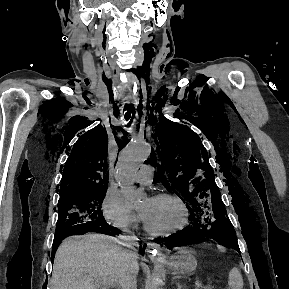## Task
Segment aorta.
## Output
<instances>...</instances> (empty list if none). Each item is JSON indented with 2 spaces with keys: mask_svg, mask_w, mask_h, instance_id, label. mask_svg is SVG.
I'll use <instances>...</instances> for the list:
<instances>
[{
  "mask_svg": "<svg viewBox=\"0 0 289 289\" xmlns=\"http://www.w3.org/2000/svg\"><path fill=\"white\" fill-rule=\"evenodd\" d=\"M150 152L151 149L145 141L134 138L119 154L117 177L127 204L132 208L138 207L146 198V194L136 189L129 181V177L148 160ZM153 289L162 288L156 285Z\"/></svg>",
  "mask_w": 289,
  "mask_h": 289,
  "instance_id": "aorta-1",
  "label": "aorta"
}]
</instances>
